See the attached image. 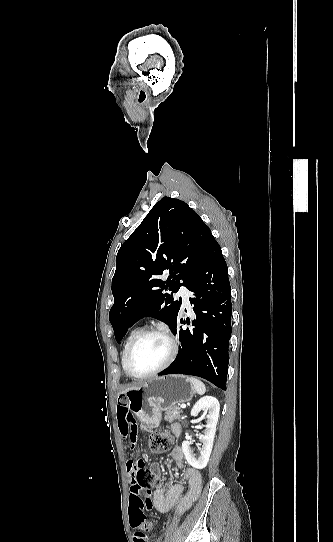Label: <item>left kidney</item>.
I'll list each match as a JSON object with an SVG mask.
<instances>
[{"label": "left kidney", "mask_w": 333, "mask_h": 542, "mask_svg": "<svg viewBox=\"0 0 333 542\" xmlns=\"http://www.w3.org/2000/svg\"><path fill=\"white\" fill-rule=\"evenodd\" d=\"M201 410H207L208 416H206V426H203V428H205L204 434L203 436H199L202 442L199 458L193 456V452H191L190 448L191 442H182L183 454L188 464H190L192 468H196V470H203L209 462L220 412V404L213 396H204V398H200L195 406H193L191 416H197L198 412H201Z\"/></svg>", "instance_id": "obj_1"}]
</instances>
